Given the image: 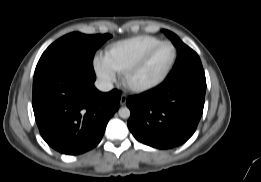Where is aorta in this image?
I'll list each match as a JSON object with an SVG mask.
<instances>
[{
    "label": "aorta",
    "instance_id": "obj_1",
    "mask_svg": "<svg viewBox=\"0 0 261 182\" xmlns=\"http://www.w3.org/2000/svg\"><path fill=\"white\" fill-rule=\"evenodd\" d=\"M118 113H119V116H120L121 118H123V119H127V118L130 117V110H129V108H127V107H122V108H120L119 111H118Z\"/></svg>",
    "mask_w": 261,
    "mask_h": 182
}]
</instances>
